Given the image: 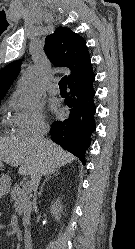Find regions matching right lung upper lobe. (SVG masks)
<instances>
[{
    "mask_svg": "<svg viewBox=\"0 0 135 249\" xmlns=\"http://www.w3.org/2000/svg\"><path fill=\"white\" fill-rule=\"evenodd\" d=\"M45 52L56 65L67 67L71 73L68 85L84 80L93 74L89 51L84 39L67 27H58L45 39ZM22 60H16L0 71V100L17 77Z\"/></svg>",
    "mask_w": 135,
    "mask_h": 249,
    "instance_id": "obj_1",
    "label": "right lung upper lobe"
}]
</instances>
